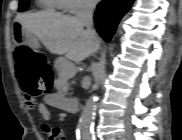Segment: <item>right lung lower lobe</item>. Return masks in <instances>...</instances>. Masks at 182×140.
Here are the masks:
<instances>
[{"label": "right lung lower lobe", "mask_w": 182, "mask_h": 140, "mask_svg": "<svg viewBox=\"0 0 182 140\" xmlns=\"http://www.w3.org/2000/svg\"><path fill=\"white\" fill-rule=\"evenodd\" d=\"M134 0H103L95 12L96 29L104 40L110 41L117 24Z\"/></svg>", "instance_id": "1"}]
</instances>
